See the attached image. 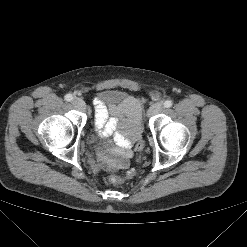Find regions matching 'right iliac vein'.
I'll return each mask as SVG.
<instances>
[{
	"label": "right iliac vein",
	"instance_id": "obj_1",
	"mask_svg": "<svg viewBox=\"0 0 247 247\" xmlns=\"http://www.w3.org/2000/svg\"><path fill=\"white\" fill-rule=\"evenodd\" d=\"M72 105L79 110H85L86 107L85 102L81 98L77 97L72 100Z\"/></svg>",
	"mask_w": 247,
	"mask_h": 247
}]
</instances>
